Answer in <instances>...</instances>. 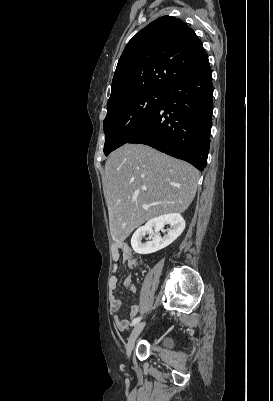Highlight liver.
<instances>
[{
	"label": "liver",
	"mask_w": 273,
	"mask_h": 401,
	"mask_svg": "<svg viewBox=\"0 0 273 401\" xmlns=\"http://www.w3.org/2000/svg\"><path fill=\"white\" fill-rule=\"evenodd\" d=\"M198 180L199 172L189 162L147 144H123L111 152L105 162L103 190L112 241L123 243L149 219L184 213L196 194Z\"/></svg>",
	"instance_id": "6515ba94"
}]
</instances>
